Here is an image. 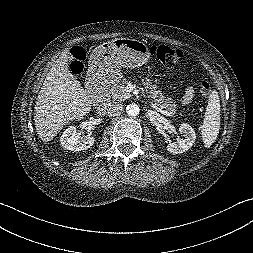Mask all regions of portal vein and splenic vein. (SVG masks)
Returning <instances> with one entry per match:
<instances>
[{"label":"portal vein and splenic vein","instance_id":"1","mask_svg":"<svg viewBox=\"0 0 253 253\" xmlns=\"http://www.w3.org/2000/svg\"><path fill=\"white\" fill-rule=\"evenodd\" d=\"M151 106L153 108H155L158 112L162 113L163 115L165 116H171L172 113L168 112V111H165V110H162L161 108L157 107L155 104L151 103Z\"/></svg>","mask_w":253,"mask_h":253}]
</instances>
